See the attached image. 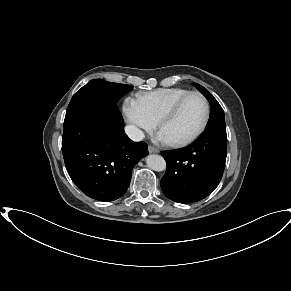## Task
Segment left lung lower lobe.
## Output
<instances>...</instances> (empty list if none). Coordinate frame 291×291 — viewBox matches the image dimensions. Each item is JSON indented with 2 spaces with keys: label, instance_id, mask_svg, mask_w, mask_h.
<instances>
[{
  "label": "left lung lower lobe",
  "instance_id": "0a47b994",
  "mask_svg": "<svg viewBox=\"0 0 291 291\" xmlns=\"http://www.w3.org/2000/svg\"><path fill=\"white\" fill-rule=\"evenodd\" d=\"M167 170L161 179L164 195L179 203L197 202L218 186L227 154L226 128L205 129L187 148L161 152Z\"/></svg>",
  "mask_w": 291,
  "mask_h": 291
}]
</instances>
